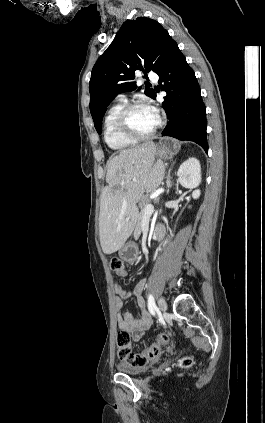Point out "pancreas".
I'll return each mask as SVG.
<instances>
[{"label": "pancreas", "instance_id": "1", "mask_svg": "<svg viewBox=\"0 0 265 423\" xmlns=\"http://www.w3.org/2000/svg\"><path fill=\"white\" fill-rule=\"evenodd\" d=\"M151 200L148 198V196H145L144 198H142L139 206L141 208V212L138 216V220H137V224L135 227V233L136 234H140L141 233V225H142V221L145 218V207L146 205L150 204Z\"/></svg>", "mask_w": 265, "mask_h": 423}]
</instances>
